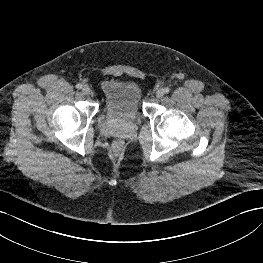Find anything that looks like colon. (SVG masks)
<instances>
[{"instance_id": "obj_1", "label": "colon", "mask_w": 263, "mask_h": 263, "mask_svg": "<svg viewBox=\"0 0 263 263\" xmlns=\"http://www.w3.org/2000/svg\"><path fill=\"white\" fill-rule=\"evenodd\" d=\"M121 147H122V143H121L120 141H117V142L114 144V148H115L116 150H120Z\"/></svg>"}]
</instances>
